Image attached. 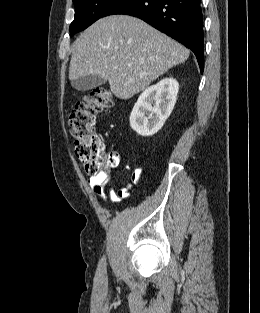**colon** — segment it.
Returning a JSON list of instances; mask_svg holds the SVG:
<instances>
[{
	"label": "colon",
	"instance_id": "5ec220e1",
	"mask_svg": "<svg viewBox=\"0 0 260 313\" xmlns=\"http://www.w3.org/2000/svg\"><path fill=\"white\" fill-rule=\"evenodd\" d=\"M114 96L105 89L90 91L74 108L69 122L75 139L76 157L93 176L109 174L117 164V155L105 150L104 143L95 132L96 116L112 108Z\"/></svg>",
	"mask_w": 260,
	"mask_h": 313
}]
</instances>
